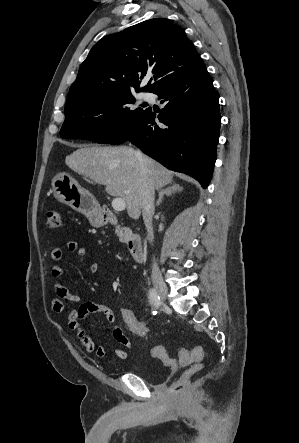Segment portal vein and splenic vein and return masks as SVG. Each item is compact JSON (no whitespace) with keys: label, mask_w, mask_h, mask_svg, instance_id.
<instances>
[{"label":"portal vein and splenic vein","mask_w":299,"mask_h":443,"mask_svg":"<svg viewBox=\"0 0 299 443\" xmlns=\"http://www.w3.org/2000/svg\"><path fill=\"white\" fill-rule=\"evenodd\" d=\"M112 207L115 211L121 212L125 210L126 204L122 198H114L112 201Z\"/></svg>","instance_id":"1"}]
</instances>
